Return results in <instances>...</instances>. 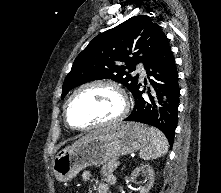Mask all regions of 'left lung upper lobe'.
I'll return each instance as SVG.
<instances>
[{"mask_svg": "<svg viewBox=\"0 0 221 193\" xmlns=\"http://www.w3.org/2000/svg\"><path fill=\"white\" fill-rule=\"evenodd\" d=\"M166 42L161 27L146 15L134 16L99 34L76 57L63 83L61 98L71 89L98 79H112L132 93L138 85V75L129 72L139 62L145 65Z\"/></svg>", "mask_w": 221, "mask_h": 193, "instance_id": "5c2ea615", "label": "left lung upper lobe"}]
</instances>
